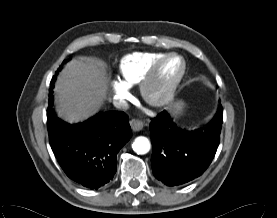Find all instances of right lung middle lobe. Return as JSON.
Returning a JSON list of instances; mask_svg holds the SVG:
<instances>
[{"label":"right lung middle lobe","mask_w":277,"mask_h":218,"mask_svg":"<svg viewBox=\"0 0 277 218\" xmlns=\"http://www.w3.org/2000/svg\"><path fill=\"white\" fill-rule=\"evenodd\" d=\"M63 63H65V62H63ZM62 68V65L60 66V68L58 69V70H60ZM49 108H51V106H53V103L51 102V101H49Z\"/></svg>","instance_id":"1"}]
</instances>
